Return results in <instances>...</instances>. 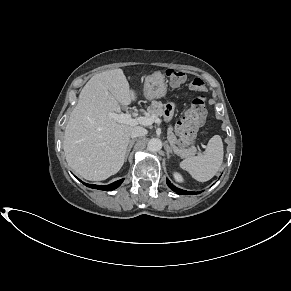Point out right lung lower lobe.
I'll return each instance as SVG.
<instances>
[{
  "instance_id": "right-lung-lower-lobe-1",
  "label": "right lung lower lobe",
  "mask_w": 291,
  "mask_h": 291,
  "mask_svg": "<svg viewBox=\"0 0 291 291\" xmlns=\"http://www.w3.org/2000/svg\"><path fill=\"white\" fill-rule=\"evenodd\" d=\"M123 180L124 179H120V180L115 181L109 185H94V184H86V183H84V185H86L87 187H90V188H94V189L111 191V190L118 188L122 184Z\"/></svg>"
}]
</instances>
